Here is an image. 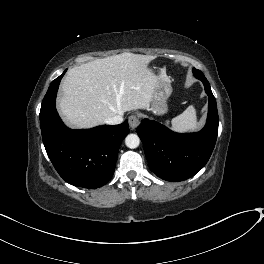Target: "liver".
I'll list each match as a JSON object with an SVG mask.
<instances>
[{"label": "liver", "mask_w": 264, "mask_h": 264, "mask_svg": "<svg viewBox=\"0 0 264 264\" xmlns=\"http://www.w3.org/2000/svg\"><path fill=\"white\" fill-rule=\"evenodd\" d=\"M155 56L121 53L81 64L63 79L58 110L75 128H92L136 109L149 110L158 78L148 67Z\"/></svg>", "instance_id": "6515ba94"}]
</instances>
